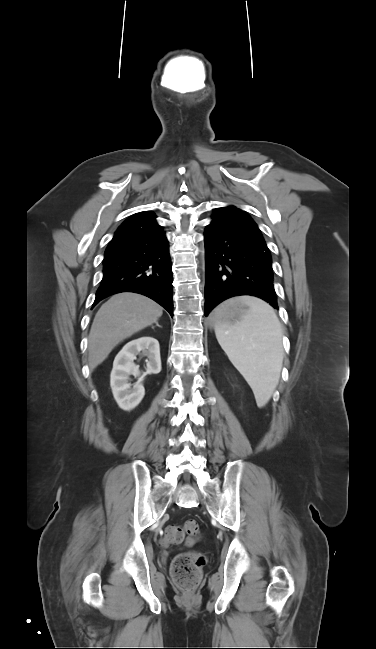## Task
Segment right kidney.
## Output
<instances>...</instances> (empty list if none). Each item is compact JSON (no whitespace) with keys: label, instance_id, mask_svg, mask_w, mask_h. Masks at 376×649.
<instances>
[{"label":"right kidney","instance_id":"obj_1","mask_svg":"<svg viewBox=\"0 0 376 649\" xmlns=\"http://www.w3.org/2000/svg\"><path fill=\"white\" fill-rule=\"evenodd\" d=\"M142 352L147 356L146 373L141 376L139 367L133 362ZM161 371L160 348L158 341L151 336H142L127 343L117 354L113 362L110 386L119 407L125 411L134 409L143 399L145 389L142 384L146 374H158ZM139 377L137 383H129V376Z\"/></svg>","mask_w":376,"mask_h":649}]
</instances>
